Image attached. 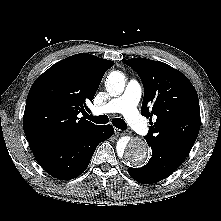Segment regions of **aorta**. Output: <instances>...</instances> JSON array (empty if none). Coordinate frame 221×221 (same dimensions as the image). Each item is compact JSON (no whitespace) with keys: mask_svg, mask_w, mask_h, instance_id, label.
<instances>
[{"mask_svg":"<svg viewBox=\"0 0 221 221\" xmlns=\"http://www.w3.org/2000/svg\"><path fill=\"white\" fill-rule=\"evenodd\" d=\"M125 88V76L120 71H113L106 80V89L111 96H119ZM118 154L129 164L140 166L146 161L149 148L147 143L139 138L122 137L117 142Z\"/></svg>","mask_w":221,"mask_h":221,"instance_id":"1","label":"aorta"}]
</instances>
